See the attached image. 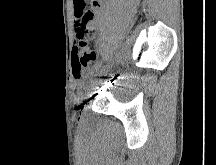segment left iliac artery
Masks as SVG:
<instances>
[{
  "label": "left iliac artery",
  "instance_id": "left-iliac-artery-1",
  "mask_svg": "<svg viewBox=\"0 0 216 165\" xmlns=\"http://www.w3.org/2000/svg\"><path fill=\"white\" fill-rule=\"evenodd\" d=\"M104 63H105V59L101 58L100 61L97 64L98 72H103V70H104L103 69L104 68Z\"/></svg>",
  "mask_w": 216,
  "mask_h": 165
}]
</instances>
